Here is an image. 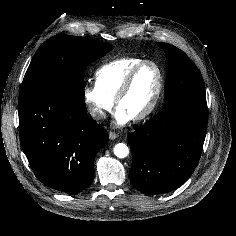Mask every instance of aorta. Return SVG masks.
I'll use <instances>...</instances> for the list:
<instances>
[{"label": "aorta", "instance_id": "aorta-1", "mask_svg": "<svg viewBox=\"0 0 236 236\" xmlns=\"http://www.w3.org/2000/svg\"><path fill=\"white\" fill-rule=\"evenodd\" d=\"M114 154L118 158H125L129 154V148L124 143H118L114 147Z\"/></svg>", "mask_w": 236, "mask_h": 236}]
</instances>
